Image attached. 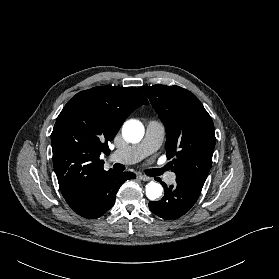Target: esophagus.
Here are the masks:
<instances>
[{"instance_id": "esophagus-1", "label": "esophagus", "mask_w": 279, "mask_h": 279, "mask_svg": "<svg viewBox=\"0 0 279 279\" xmlns=\"http://www.w3.org/2000/svg\"><path fill=\"white\" fill-rule=\"evenodd\" d=\"M138 178L142 181H150L152 178L145 176V175H139Z\"/></svg>"}]
</instances>
